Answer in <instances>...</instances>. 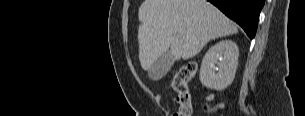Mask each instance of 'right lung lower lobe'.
Masks as SVG:
<instances>
[{
  "instance_id": "right-lung-lower-lobe-1",
  "label": "right lung lower lobe",
  "mask_w": 305,
  "mask_h": 116,
  "mask_svg": "<svg viewBox=\"0 0 305 116\" xmlns=\"http://www.w3.org/2000/svg\"><path fill=\"white\" fill-rule=\"evenodd\" d=\"M226 16L238 23L253 39L257 30L260 11L265 0H208Z\"/></svg>"
}]
</instances>
